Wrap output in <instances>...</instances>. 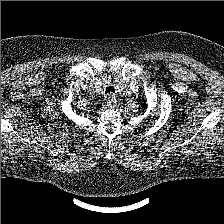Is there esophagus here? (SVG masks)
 Returning <instances> with one entry per match:
<instances>
[{"label":"esophagus","instance_id":"esophagus-1","mask_svg":"<svg viewBox=\"0 0 224 224\" xmlns=\"http://www.w3.org/2000/svg\"><path fill=\"white\" fill-rule=\"evenodd\" d=\"M115 101H116V99L113 96L109 95V97L107 99L108 106L112 107Z\"/></svg>","mask_w":224,"mask_h":224}]
</instances>
